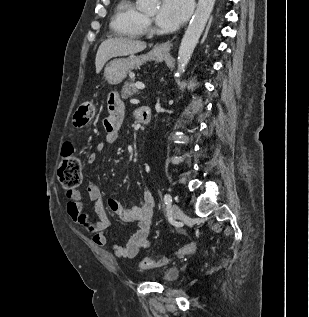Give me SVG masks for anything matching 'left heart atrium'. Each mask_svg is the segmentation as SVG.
I'll return each instance as SVG.
<instances>
[{
	"instance_id": "obj_1",
	"label": "left heart atrium",
	"mask_w": 309,
	"mask_h": 317,
	"mask_svg": "<svg viewBox=\"0 0 309 317\" xmlns=\"http://www.w3.org/2000/svg\"><path fill=\"white\" fill-rule=\"evenodd\" d=\"M190 10V0H162L156 22L163 30H174L185 21Z\"/></svg>"
}]
</instances>
